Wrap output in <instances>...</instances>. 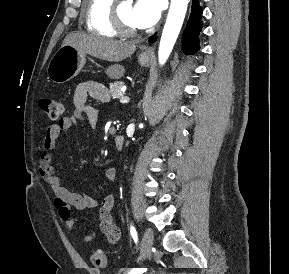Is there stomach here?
<instances>
[{
  "mask_svg": "<svg viewBox=\"0 0 289 274\" xmlns=\"http://www.w3.org/2000/svg\"><path fill=\"white\" fill-rule=\"evenodd\" d=\"M151 58L140 55L138 58L142 66H147ZM86 62V54L71 45H62L51 58L48 67V78L54 83L62 84L75 77Z\"/></svg>",
  "mask_w": 289,
  "mask_h": 274,
  "instance_id": "1",
  "label": "stomach"
}]
</instances>
